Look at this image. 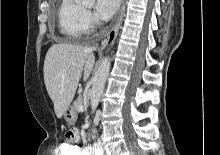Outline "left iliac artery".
Returning <instances> with one entry per match:
<instances>
[{"instance_id":"44dca946","label":"left iliac artery","mask_w":220,"mask_h":155,"mask_svg":"<svg viewBox=\"0 0 220 155\" xmlns=\"http://www.w3.org/2000/svg\"><path fill=\"white\" fill-rule=\"evenodd\" d=\"M95 155H103L102 150L98 149Z\"/></svg>"}]
</instances>
